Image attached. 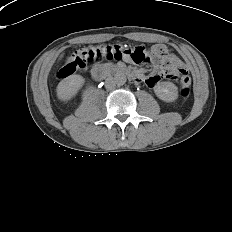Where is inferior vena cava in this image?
<instances>
[{"label":"inferior vena cava","instance_id":"obj_1","mask_svg":"<svg viewBox=\"0 0 232 232\" xmlns=\"http://www.w3.org/2000/svg\"><path fill=\"white\" fill-rule=\"evenodd\" d=\"M105 87L107 90H113L115 88V81L113 78H107L105 82Z\"/></svg>","mask_w":232,"mask_h":232}]
</instances>
